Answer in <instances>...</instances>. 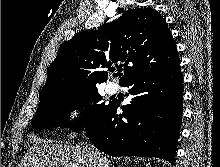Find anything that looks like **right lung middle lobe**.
<instances>
[{"instance_id":"obj_1","label":"right lung middle lobe","mask_w":220,"mask_h":167,"mask_svg":"<svg viewBox=\"0 0 220 167\" xmlns=\"http://www.w3.org/2000/svg\"><path fill=\"white\" fill-rule=\"evenodd\" d=\"M101 100L97 87H84L78 89L64 90L46 98L39 103L38 110L34 117L33 127L44 129L51 126L70 127L73 131H81L84 127L89 128L97 117L107 107L104 103L91 105L92 101ZM85 108L81 117L68 122V114L71 110Z\"/></svg>"}]
</instances>
